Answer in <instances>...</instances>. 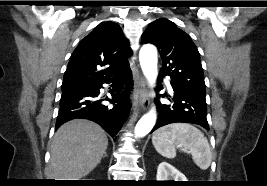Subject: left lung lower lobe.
Wrapping results in <instances>:
<instances>
[{"mask_svg": "<svg viewBox=\"0 0 267 186\" xmlns=\"http://www.w3.org/2000/svg\"><path fill=\"white\" fill-rule=\"evenodd\" d=\"M162 77L163 75L160 74V81ZM171 86L174 97L169 100L172 101V104L162 105L157 101L159 115L152 132L159 127L177 122L198 124L209 130L205 95L195 93L178 84L171 83Z\"/></svg>", "mask_w": 267, "mask_h": 186, "instance_id": "1", "label": "left lung lower lobe"}]
</instances>
